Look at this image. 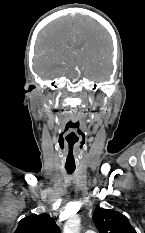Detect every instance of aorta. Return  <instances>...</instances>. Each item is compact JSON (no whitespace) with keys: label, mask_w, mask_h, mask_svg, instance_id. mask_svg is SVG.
<instances>
[{"label":"aorta","mask_w":145,"mask_h":233,"mask_svg":"<svg viewBox=\"0 0 145 233\" xmlns=\"http://www.w3.org/2000/svg\"><path fill=\"white\" fill-rule=\"evenodd\" d=\"M81 220L79 216L70 218L64 227V233H79Z\"/></svg>","instance_id":"762f6f07"}]
</instances>
